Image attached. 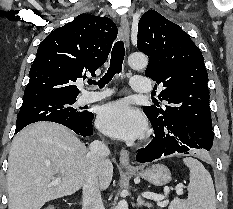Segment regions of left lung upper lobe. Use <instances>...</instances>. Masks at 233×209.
Segmentation results:
<instances>
[{
    "label": "left lung upper lobe",
    "instance_id": "obj_1",
    "mask_svg": "<svg viewBox=\"0 0 233 209\" xmlns=\"http://www.w3.org/2000/svg\"><path fill=\"white\" fill-rule=\"evenodd\" d=\"M137 48L149 58L145 75L156 81L158 99L165 107L144 106L154 122L185 119L212 130L208 75L199 48L180 26L155 10H148L138 24Z\"/></svg>",
    "mask_w": 233,
    "mask_h": 209
}]
</instances>
